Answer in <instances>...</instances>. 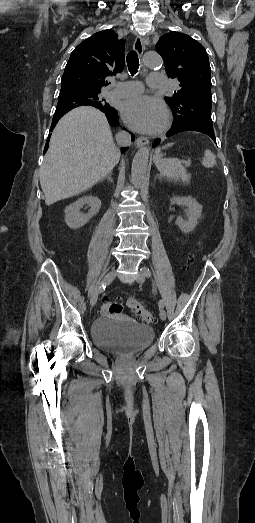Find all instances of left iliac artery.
Masks as SVG:
<instances>
[{
	"label": "left iliac artery",
	"mask_w": 255,
	"mask_h": 523,
	"mask_svg": "<svg viewBox=\"0 0 255 523\" xmlns=\"http://www.w3.org/2000/svg\"><path fill=\"white\" fill-rule=\"evenodd\" d=\"M141 271L144 273V275H145L146 277H150V276H151V271H150L149 268H147V267H143V268L141 269ZM158 305H159V308H163V307H164V302H163V300H159Z\"/></svg>",
	"instance_id": "left-iliac-artery-1"
}]
</instances>
